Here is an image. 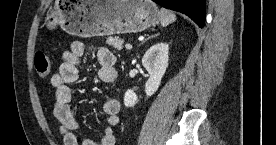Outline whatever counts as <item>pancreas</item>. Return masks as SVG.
<instances>
[{
	"label": "pancreas",
	"instance_id": "pancreas-1",
	"mask_svg": "<svg viewBox=\"0 0 276 145\" xmlns=\"http://www.w3.org/2000/svg\"><path fill=\"white\" fill-rule=\"evenodd\" d=\"M106 43L109 45V46H112L113 48L117 49L118 51H121L122 50V47H123V43H124V40L122 39H119L118 37H108L106 39Z\"/></svg>",
	"mask_w": 276,
	"mask_h": 145
}]
</instances>
